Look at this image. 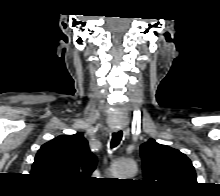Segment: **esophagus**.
Listing matches in <instances>:
<instances>
[{
	"label": "esophagus",
	"mask_w": 220,
	"mask_h": 196,
	"mask_svg": "<svg viewBox=\"0 0 220 196\" xmlns=\"http://www.w3.org/2000/svg\"><path fill=\"white\" fill-rule=\"evenodd\" d=\"M112 129H113L114 131H117V130H118V128H117V127H113Z\"/></svg>",
	"instance_id": "34e87169"
}]
</instances>
